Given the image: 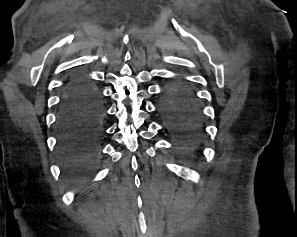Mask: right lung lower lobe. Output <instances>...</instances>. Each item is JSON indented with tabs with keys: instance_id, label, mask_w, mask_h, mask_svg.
I'll return each instance as SVG.
<instances>
[{
	"instance_id": "obj_1",
	"label": "right lung lower lobe",
	"mask_w": 297,
	"mask_h": 237,
	"mask_svg": "<svg viewBox=\"0 0 297 237\" xmlns=\"http://www.w3.org/2000/svg\"><path fill=\"white\" fill-rule=\"evenodd\" d=\"M103 110L94 86L81 78L71 80L58 117V152L65 170L90 171L99 155V118Z\"/></svg>"
}]
</instances>
